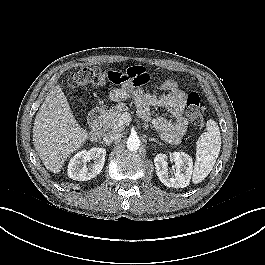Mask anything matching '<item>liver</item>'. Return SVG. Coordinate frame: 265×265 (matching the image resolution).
<instances>
[{"instance_id": "liver-1", "label": "liver", "mask_w": 265, "mask_h": 265, "mask_svg": "<svg viewBox=\"0 0 265 265\" xmlns=\"http://www.w3.org/2000/svg\"><path fill=\"white\" fill-rule=\"evenodd\" d=\"M89 138L75 119L62 88L51 89L39 108L33 127V144L45 167L59 173L65 160Z\"/></svg>"}]
</instances>
